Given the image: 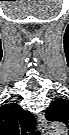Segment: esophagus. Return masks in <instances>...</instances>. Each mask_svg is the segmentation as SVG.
<instances>
[{"mask_svg": "<svg viewBox=\"0 0 69 135\" xmlns=\"http://www.w3.org/2000/svg\"><path fill=\"white\" fill-rule=\"evenodd\" d=\"M38 126L41 132H45L47 130V121L43 114H39L37 118Z\"/></svg>", "mask_w": 69, "mask_h": 135, "instance_id": "esophagus-1", "label": "esophagus"}]
</instances>
